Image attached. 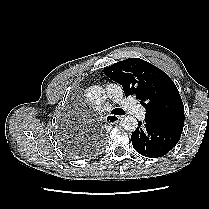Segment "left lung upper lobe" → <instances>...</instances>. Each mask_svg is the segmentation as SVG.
Listing matches in <instances>:
<instances>
[{
	"instance_id": "1",
	"label": "left lung upper lobe",
	"mask_w": 209,
	"mask_h": 209,
	"mask_svg": "<svg viewBox=\"0 0 209 209\" xmlns=\"http://www.w3.org/2000/svg\"><path fill=\"white\" fill-rule=\"evenodd\" d=\"M122 85L125 95H135L145 107V118L165 127L183 129L184 106L171 78L156 66L139 58H129L104 69Z\"/></svg>"
}]
</instances>
